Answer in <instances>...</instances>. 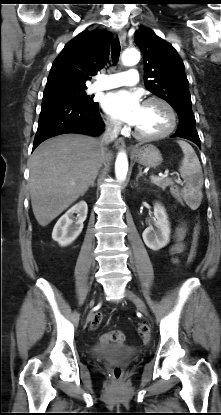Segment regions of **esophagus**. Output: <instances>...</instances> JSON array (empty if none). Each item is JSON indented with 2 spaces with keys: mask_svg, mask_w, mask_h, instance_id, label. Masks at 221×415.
I'll list each match as a JSON object with an SVG mask.
<instances>
[{
  "mask_svg": "<svg viewBox=\"0 0 221 415\" xmlns=\"http://www.w3.org/2000/svg\"><path fill=\"white\" fill-rule=\"evenodd\" d=\"M118 37H119V40H120L121 44H124L125 40H126L125 30H120L119 33H118ZM114 145L117 149H122V148L125 147V142L122 138H118V139L115 140Z\"/></svg>",
  "mask_w": 221,
  "mask_h": 415,
  "instance_id": "34e87169",
  "label": "esophagus"
}]
</instances>
